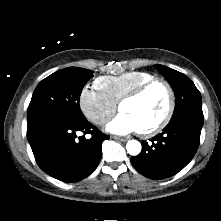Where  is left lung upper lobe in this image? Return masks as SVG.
I'll use <instances>...</instances> for the list:
<instances>
[{"instance_id":"left-lung-upper-lobe-1","label":"left lung upper lobe","mask_w":221,"mask_h":221,"mask_svg":"<svg viewBox=\"0 0 221 221\" xmlns=\"http://www.w3.org/2000/svg\"><path fill=\"white\" fill-rule=\"evenodd\" d=\"M155 67L166 78L175 92L176 106L172 117L185 111H202L201 94L186 75L160 64L155 65Z\"/></svg>"}]
</instances>
